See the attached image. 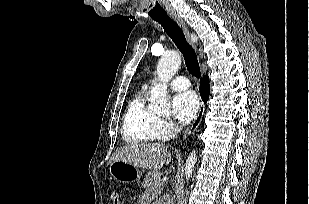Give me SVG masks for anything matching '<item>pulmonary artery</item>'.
I'll list each match as a JSON object with an SVG mask.
<instances>
[{
	"label": "pulmonary artery",
	"instance_id": "1",
	"mask_svg": "<svg viewBox=\"0 0 309 204\" xmlns=\"http://www.w3.org/2000/svg\"><path fill=\"white\" fill-rule=\"evenodd\" d=\"M169 85L172 89L174 90H186L190 87V82L187 78L182 77V76H178L173 78L170 82Z\"/></svg>",
	"mask_w": 309,
	"mask_h": 204
}]
</instances>
